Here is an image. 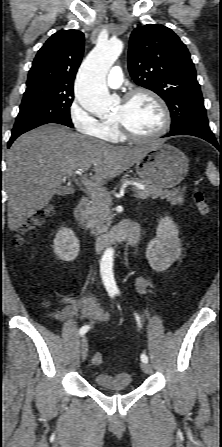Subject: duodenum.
I'll list each match as a JSON object with an SVG mask.
<instances>
[{
	"mask_svg": "<svg viewBox=\"0 0 222 447\" xmlns=\"http://www.w3.org/2000/svg\"><path fill=\"white\" fill-rule=\"evenodd\" d=\"M90 202L87 197H82L73 211V219L79 229H83L85 216L89 210ZM140 237V226L134 221H123L116 225L107 240L127 241L135 245ZM99 247H102L104 241H99Z\"/></svg>",
	"mask_w": 222,
	"mask_h": 447,
	"instance_id": "1",
	"label": "duodenum"
}]
</instances>
